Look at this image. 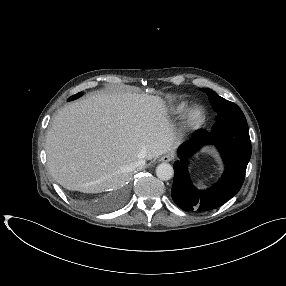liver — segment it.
Listing matches in <instances>:
<instances>
[{"label":"liver","mask_w":286,"mask_h":286,"mask_svg":"<svg viewBox=\"0 0 286 286\" xmlns=\"http://www.w3.org/2000/svg\"><path fill=\"white\" fill-rule=\"evenodd\" d=\"M164 101L131 91L97 93L61 109L47 134V164L68 190L100 193L126 184L141 160L177 146Z\"/></svg>","instance_id":"obj_1"}]
</instances>
